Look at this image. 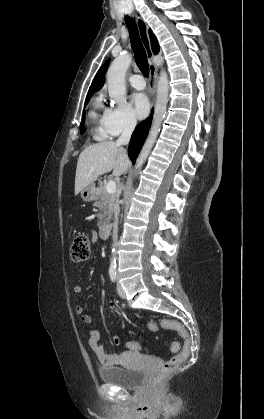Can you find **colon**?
Returning a JSON list of instances; mask_svg holds the SVG:
<instances>
[{"mask_svg":"<svg viewBox=\"0 0 264 419\" xmlns=\"http://www.w3.org/2000/svg\"><path fill=\"white\" fill-rule=\"evenodd\" d=\"M71 258L75 262L86 261L90 254V241L86 235H77L72 243L70 249ZM151 331H158L160 329H170L176 331L184 340L183 347L180 348L178 342H173L171 345V352L175 353L172 358L167 360L160 370V376L164 377L173 373L182 361L188 356L191 346V341L187 330L177 321L174 320H151L148 324ZM132 347L141 350L138 343H133Z\"/></svg>","mask_w":264,"mask_h":419,"instance_id":"1","label":"colon"}]
</instances>
